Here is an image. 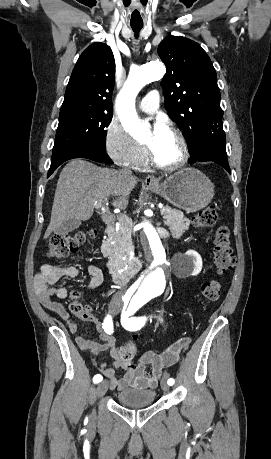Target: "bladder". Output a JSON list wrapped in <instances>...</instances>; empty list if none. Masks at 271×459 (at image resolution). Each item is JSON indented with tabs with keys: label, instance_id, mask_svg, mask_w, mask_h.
I'll return each instance as SVG.
<instances>
[{
	"label": "bladder",
	"instance_id": "1",
	"mask_svg": "<svg viewBox=\"0 0 271 459\" xmlns=\"http://www.w3.org/2000/svg\"><path fill=\"white\" fill-rule=\"evenodd\" d=\"M155 392L154 390H139L136 388H129L119 392L118 402L125 405H148L154 403Z\"/></svg>",
	"mask_w": 271,
	"mask_h": 459
}]
</instances>
